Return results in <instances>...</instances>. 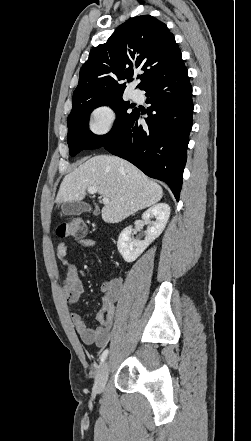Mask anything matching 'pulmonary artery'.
<instances>
[{
	"instance_id": "pulmonary-artery-1",
	"label": "pulmonary artery",
	"mask_w": 251,
	"mask_h": 441,
	"mask_svg": "<svg viewBox=\"0 0 251 441\" xmlns=\"http://www.w3.org/2000/svg\"><path fill=\"white\" fill-rule=\"evenodd\" d=\"M141 97L140 93L137 90H133L131 92V98L135 101L139 100Z\"/></svg>"
}]
</instances>
